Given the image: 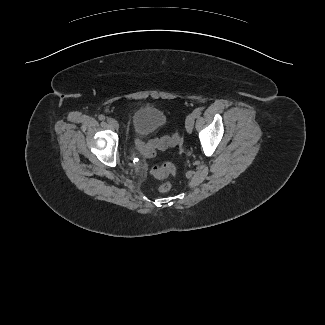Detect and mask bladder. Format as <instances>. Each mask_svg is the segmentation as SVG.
Instances as JSON below:
<instances>
[{
  "mask_svg": "<svg viewBox=\"0 0 325 325\" xmlns=\"http://www.w3.org/2000/svg\"><path fill=\"white\" fill-rule=\"evenodd\" d=\"M167 122L165 113L151 106H142L132 114V128L135 136L146 137L163 127Z\"/></svg>",
  "mask_w": 325,
  "mask_h": 325,
  "instance_id": "31cf9c89",
  "label": "bladder"
}]
</instances>
